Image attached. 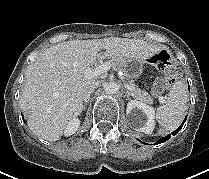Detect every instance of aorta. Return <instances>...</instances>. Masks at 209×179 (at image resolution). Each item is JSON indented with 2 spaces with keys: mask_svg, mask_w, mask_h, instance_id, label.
<instances>
[{
  "mask_svg": "<svg viewBox=\"0 0 209 179\" xmlns=\"http://www.w3.org/2000/svg\"><path fill=\"white\" fill-rule=\"evenodd\" d=\"M104 89L107 94H115L118 92L119 86L115 82H109L105 85Z\"/></svg>",
  "mask_w": 209,
  "mask_h": 179,
  "instance_id": "762f6f07",
  "label": "aorta"
}]
</instances>
